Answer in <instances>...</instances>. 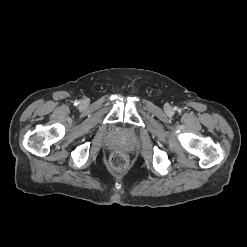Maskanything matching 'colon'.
<instances>
[{"label": "colon", "mask_w": 247, "mask_h": 247, "mask_svg": "<svg viewBox=\"0 0 247 247\" xmlns=\"http://www.w3.org/2000/svg\"><path fill=\"white\" fill-rule=\"evenodd\" d=\"M110 167L115 171H122L126 166V158L120 152H114L109 160Z\"/></svg>", "instance_id": "1"}]
</instances>
